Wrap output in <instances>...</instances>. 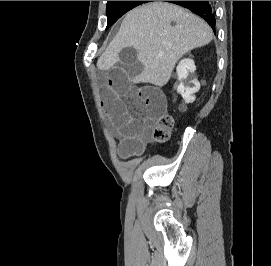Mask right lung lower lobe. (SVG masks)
<instances>
[{
    "label": "right lung lower lobe",
    "instance_id": "right-lung-lower-lobe-1",
    "mask_svg": "<svg viewBox=\"0 0 271 266\" xmlns=\"http://www.w3.org/2000/svg\"><path fill=\"white\" fill-rule=\"evenodd\" d=\"M188 8L202 17L215 31L216 19L210 1H166Z\"/></svg>",
    "mask_w": 271,
    "mask_h": 266
}]
</instances>
